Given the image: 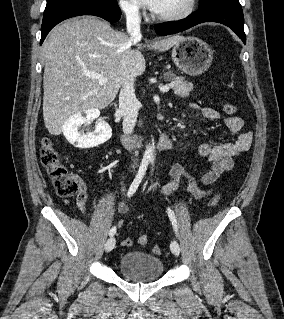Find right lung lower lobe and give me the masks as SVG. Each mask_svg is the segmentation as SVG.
Returning a JSON list of instances; mask_svg holds the SVG:
<instances>
[{
    "mask_svg": "<svg viewBox=\"0 0 284 319\" xmlns=\"http://www.w3.org/2000/svg\"><path fill=\"white\" fill-rule=\"evenodd\" d=\"M80 15H94L99 16L109 22H116L121 17V10L117 4L105 5H68L60 7L50 13L44 14L42 21L41 40L44 41L49 31L61 21Z\"/></svg>",
    "mask_w": 284,
    "mask_h": 319,
    "instance_id": "right-lung-lower-lobe-1",
    "label": "right lung lower lobe"
}]
</instances>
